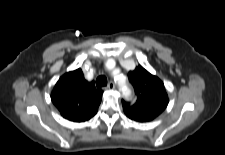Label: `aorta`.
I'll use <instances>...</instances> for the list:
<instances>
[{
	"instance_id": "1",
	"label": "aorta",
	"mask_w": 225,
	"mask_h": 155,
	"mask_svg": "<svg viewBox=\"0 0 225 155\" xmlns=\"http://www.w3.org/2000/svg\"><path fill=\"white\" fill-rule=\"evenodd\" d=\"M118 87L122 91L124 95L129 94V88L127 85V82L125 80H122L121 77L119 76L117 79Z\"/></svg>"
}]
</instances>
